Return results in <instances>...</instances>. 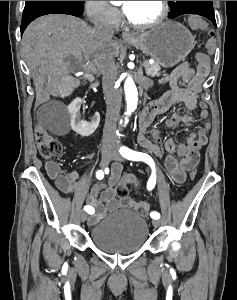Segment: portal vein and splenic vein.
I'll return each mask as SVG.
<instances>
[{"label":"portal vein and splenic vein","instance_id":"portal-vein-and-splenic-vein-1","mask_svg":"<svg viewBox=\"0 0 237 300\" xmlns=\"http://www.w3.org/2000/svg\"><path fill=\"white\" fill-rule=\"evenodd\" d=\"M148 63H147V61L145 60L144 62H143V65H145L144 67L145 68H148V65H147Z\"/></svg>","mask_w":237,"mask_h":300}]
</instances>
